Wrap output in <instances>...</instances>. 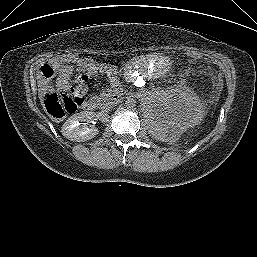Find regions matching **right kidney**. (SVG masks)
<instances>
[{
  "label": "right kidney",
  "mask_w": 257,
  "mask_h": 257,
  "mask_svg": "<svg viewBox=\"0 0 257 257\" xmlns=\"http://www.w3.org/2000/svg\"><path fill=\"white\" fill-rule=\"evenodd\" d=\"M94 117L92 112L82 111L71 116L62 127V135L71 141L84 142L94 138L98 134L96 127L89 128L86 121Z\"/></svg>",
  "instance_id": "ca27d5eb"
}]
</instances>
